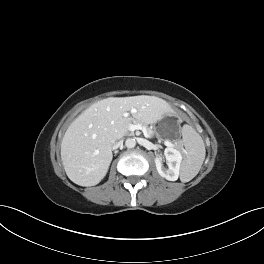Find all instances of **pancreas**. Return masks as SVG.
<instances>
[{"mask_svg":"<svg viewBox=\"0 0 264 264\" xmlns=\"http://www.w3.org/2000/svg\"><path fill=\"white\" fill-rule=\"evenodd\" d=\"M139 124H141L142 126H144V127L147 129L148 134H149L150 136H153V135L155 134V131H154L153 129H151V128H148L145 124H143V123H139ZM175 146H176L177 148H181V145H180L179 143H175Z\"/></svg>","mask_w":264,"mask_h":264,"instance_id":"1","label":"pancreas"}]
</instances>
